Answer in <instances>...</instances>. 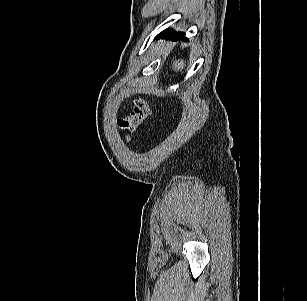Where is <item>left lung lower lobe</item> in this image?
Returning a JSON list of instances; mask_svg holds the SVG:
<instances>
[{
	"instance_id": "0a47b994",
	"label": "left lung lower lobe",
	"mask_w": 307,
	"mask_h": 301,
	"mask_svg": "<svg viewBox=\"0 0 307 301\" xmlns=\"http://www.w3.org/2000/svg\"><path fill=\"white\" fill-rule=\"evenodd\" d=\"M160 38H170L172 40H179V39H183V40H187V38L185 37V33L183 32H175V31H169V30H164L162 31L160 34H158L156 36V39H160Z\"/></svg>"
}]
</instances>
